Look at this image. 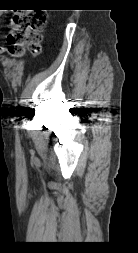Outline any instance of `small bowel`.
Here are the masks:
<instances>
[{"label": "small bowel", "instance_id": "c3829d8e", "mask_svg": "<svg viewBox=\"0 0 138 253\" xmlns=\"http://www.w3.org/2000/svg\"><path fill=\"white\" fill-rule=\"evenodd\" d=\"M4 51H5V48H4V47H2V46H0V55H1V54H3V53H4Z\"/></svg>", "mask_w": 138, "mask_h": 253}]
</instances>
